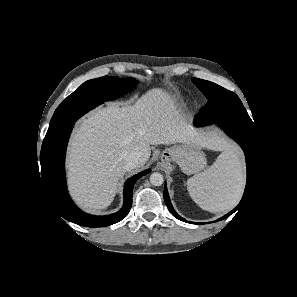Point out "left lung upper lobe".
<instances>
[{"instance_id": "obj_1", "label": "left lung upper lobe", "mask_w": 297, "mask_h": 297, "mask_svg": "<svg viewBox=\"0 0 297 297\" xmlns=\"http://www.w3.org/2000/svg\"><path fill=\"white\" fill-rule=\"evenodd\" d=\"M192 81L208 99L195 117L196 123L205 126L228 122L255 131L253 121L235 93L206 80L192 78Z\"/></svg>"}]
</instances>
